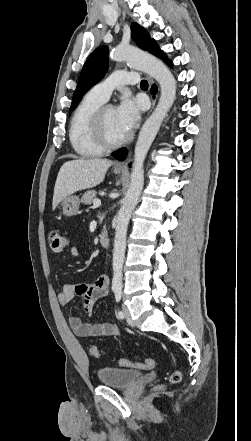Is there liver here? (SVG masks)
I'll return each mask as SVG.
<instances>
[{"label": "liver", "instance_id": "1", "mask_svg": "<svg viewBox=\"0 0 251 441\" xmlns=\"http://www.w3.org/2000/svg\"><path fill=\"white\" fill-rule=\"evenodd\" d=\"M112 164V161L99 158L65 162L55 182L52 208L55 209L62 199L77 191L99 185Z\"/></svg>", "mask_w": 251, "mask_h": 441}]
</instances>
